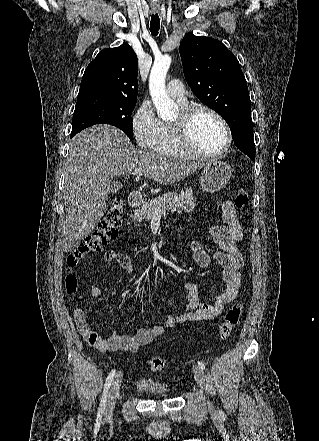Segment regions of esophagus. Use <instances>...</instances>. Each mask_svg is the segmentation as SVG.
<instances>
[{
    "instance_id": "1",
    "label": "esophagus",
    "mask_w": 319,
    "mask_h": 441,
    "mask_svg": "<svg viewBox=\"0 0 319 441\" xmlns=\"http://www.w3.org/2000/svg\"><path fill=\"white\" fill-rule=\"evenodd\" d=\"M152 13L156 14L159 12V7L158 6H152L151 7Z\"/></svg>"
}]
</instances>
